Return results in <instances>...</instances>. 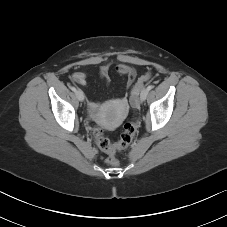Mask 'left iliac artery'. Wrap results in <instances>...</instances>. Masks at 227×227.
<instances>
[{
	"label": "left iliac artery",
	"instance_id": "obj_1",
	"mask_svg": "<svg viewBox=\"0 0 227 227\" xmlns=\"http://www.w3.org/2000/svg\"><path fill=\"white\" fill-rule=\"evenodd\" d=\"M153 87H154L153 85H149V86L147 87V89H148V90H151V89H153Z\"/></svg>",
	"mask_w": 227,
	"mask_h": 227
}]
</instances>
